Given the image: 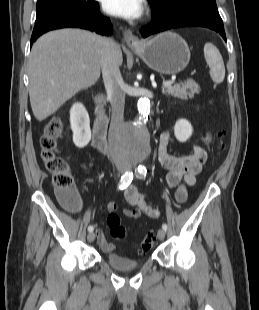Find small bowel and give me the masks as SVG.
<instances>
[{"instance_id": "obj_1", "label": "small bowel", "mask_w": 259, "mask_h": 310, "mask_svg": "<svg viewBox=\"0 0 259 310\" xmlns=\"http://www.w3.org/2000/svg\"><path fill=\"white\" fill-rule=\"evenodd\" d=\"M169 141V132L162 133L158 147V160L168 171L164 179V185L168 189H175V200L178 203H184L188 195L187 187L195 185L196 177L206 162L207 153L203 147L195 145L192 148V153L189 155H172L167 149ZM212 141L211 132L206 131L204 134L205 145H210ZM124 197L129 204V208L123 211L126 217L137 219L141 215H146L150 218H157L159 216V210L148 204L144 196L139 193L134 185L129 184L124 189ZM117 208V203L113 201L107 204V209L110 212L116 211ZM96 239L97 244L104 252L111 253L115 250V244L108 241L100 229L96 230Z\"/></svg>"}]
</instances>
